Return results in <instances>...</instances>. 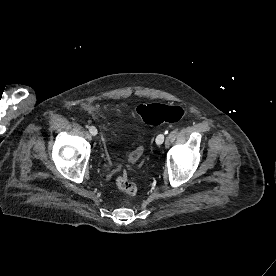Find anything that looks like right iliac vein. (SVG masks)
I'll return each mask as SVG.
<instances>
[{
  "label": "right iliac vein",
  "mask_w": 276,
  "mask_h": 276,
  "mask_svg": "<svg viewBox=\"0 0 276 276\" xmlns=\"http://www.w3.org/2000/svg\"><path fill=\"white\" fill-rule=\"evenodd\" d=\"M89 132L91 133V135L95 136L97 134V129L94 126H90L89 127Z\"/></svg>",
  "instance_id": "right-iliac-vein-1"
}]
</instances>
